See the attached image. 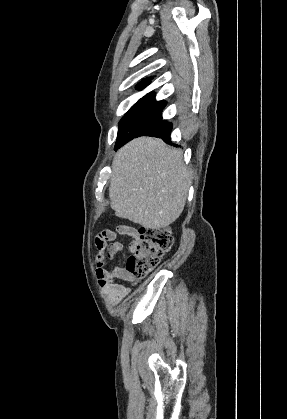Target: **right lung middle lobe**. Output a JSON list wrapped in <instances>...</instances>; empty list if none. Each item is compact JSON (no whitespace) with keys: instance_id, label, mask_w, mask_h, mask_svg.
Wrapping results in <instances>:
<instances>
[{"instance_id":"1","label":"right lung middle lobe","mask_w":287,"mask_h":419,"mask_svg":"<svg viewBox=\"0 0 287 419\" xmlns=\"http://www.w3.org/2000/svg\"><path fill=\"white\" fill-rule=\"evenodd\" d=\"M161 107H140L130 109L119 122L115 150L135 138L162 118Z\"/></svg>"}]
</instances>
